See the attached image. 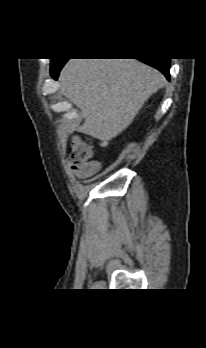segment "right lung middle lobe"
<instances>
[{
	"mask_svg": "<svg viewBox=\"0 0 206 348\" xmlns=\"http://www.w3.org/2000/svg\"><path fill=\"white\" fill-rule=\"evenodd\" d=\"M60 60H62V59H52L51 60V66L57 64Z\"/></svg>",
	"mask_w": 206,
	"mask_h": 348,
	"instance_id": "right-lung-middle-lobe-1",
	"label": "right lung middle lobe"
}]
</instances>
